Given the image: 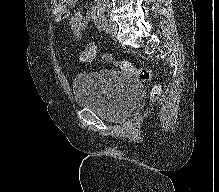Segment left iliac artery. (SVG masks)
I'll return each mask as SVG.
<instances>
[{
  "label": "left iliac artery",
  "instance_id": "left-iliac-artery-1",
  "mask_svg": "<svg viewBox=\"0 0 219 192\" xmlns=\"http://www.w3.org/2000/svg\"><path fill=\"white\" fill-rule=\"evenodd\" d=\"M97 15L99 17V21H100L103 29L107 32L108 25H107V20L105 17V5H99Z\"/></svg>",
  "mask_w": 219,
  "mask_h": 192
}]
</instances>
